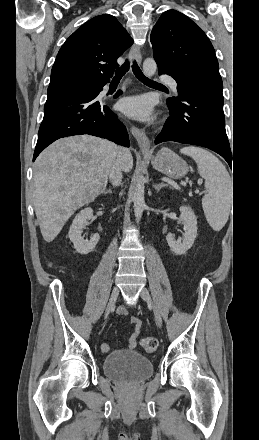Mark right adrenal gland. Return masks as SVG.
Here are the masks:
<instances>
[{
    "mask_svg": "<svg viewBox=\"0 0 259 440\" xmlns=\"http://www.w3.org/2000/svg\"><path fill=\"white\" fill-rule=\"evenodd\" d=\"M112 192H113V189H111V188L104 190L105 194H107V193L111 194Z\"/></svg>",
    "mask_w": 259,
    "mask_h": 440,
    "instance_id": "1",
    "label": "right adrenal gland"
}]
</instances>
